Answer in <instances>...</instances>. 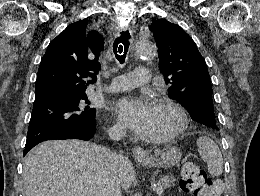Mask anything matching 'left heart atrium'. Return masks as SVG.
<instances>
[{
    "label": "left heart atrium",
    "instance_id": "1",
    "mask_svg": "<svg viewBox=\"0 0 260 196\" xmlns=\"http://www.w3.org/2000/svg\"><path fill=\"white\" fill-rule=\"evenodd\" d=\"M119 121L130 130L143 134L148 131L152 103L144 99L124 97L115 105ZM118 190H91V192H117Z\"/></svg>",
    "mask_w": 260,
    "mask_h": 196
}]
</instances>
